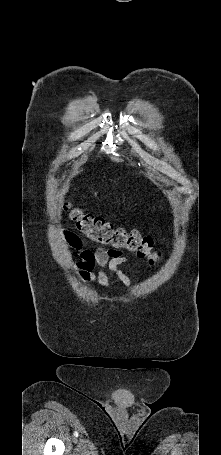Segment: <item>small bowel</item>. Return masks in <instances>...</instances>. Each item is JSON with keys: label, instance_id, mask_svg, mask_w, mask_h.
<instances>
[{"label": "small bowel", "instance_id": "c3829d8e", "mask_svg": "<svg viewBox=\"0 0 221 455\" xmlns=\"http://www.w3.org/2000/svg\"><path fill=\"white\" fill-rule=\"evenodd\" d=\"M63 238L75 250L80 259L74 263L78 278L84 283H97L102 288L109 286L108 272L112 273L125 287H130V277L121 269L128 264L126 256L117 250L85 248L82 241L74 233L64 230Z\"/></svg>", "mask_w": 221, "mask_h": 455}]
</instances>
